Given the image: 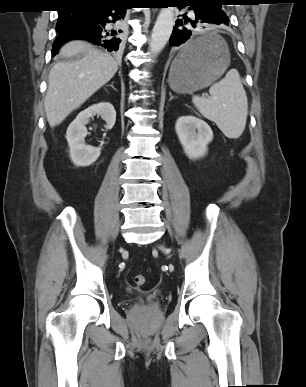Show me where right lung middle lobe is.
Returning a JSON list of instances; mask_svg holds the SVG:
<instances>
[{"instance_id": "dd1d6c3e", "label": "right lung middle lobe", "mask_w": 306, "mask_h": 387, "mask_svg": "<svg viewBox=\"0 0 306 387\" xmlns=\"http://www.w3.org/2000/svg\"><path fill=\"white\" fill-rule=\"evenodd\" d=\"M83 16V8L65 9L64 11L60 12L59 20L56 25L57 31L76 25L83 20Z\"/></svg>"}]
</instances>
